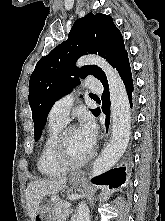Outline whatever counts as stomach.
<instances>
[{
    "mask_svg": "<svg viewBox=\"0 0 165 221\" xmlns=\"http://www.w3.org/2000/svg\"><path fill=\"white\" fill-rule=\"evenodd\" d=\"M81 184L82 180L78 177L70 179L72 188H77ZM52 205H57V200H40V206L34 221H60V218L56 217Z\"/></svg>",
    "mask_w": 165,
    "mask_h": 221,
    "instance_id": "1",
    "label": "stomach"
}]
</instances>
